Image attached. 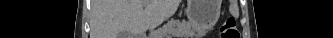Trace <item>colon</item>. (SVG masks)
<instances>
[{"instance_id": "obj_1", "label": "colon", "mask_w": 333, "mask_h": 38, "mask_svg": "<svg viewBox=\"0 0 333 38\" xmlns=\"http://www.w3.org/2000/svg\"><path fill=\"white\" fill-rule=\"evenodd\" d=\"M240 33L234 18H228L221 27V38H239Z\"/></svg>"}]
</instances>
